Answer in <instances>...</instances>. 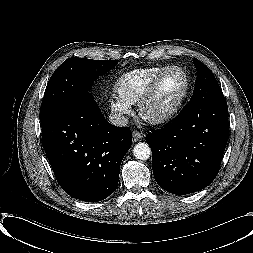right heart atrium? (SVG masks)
<instances>
[{
  "mask_svg": "<svg viewBox=\"0 0 253 253\" xmlns=\"http://www.w3.org/2000/svg\"><path fill=\"white\" fill-rule=\"evenodd\" d=\"M108 105L111 111L118 116H127L131 113V105L119 97L110 98L108 100Z\"/></svg>",
  "mask_w": 253,
  "mask_h": 253,
  "instance_id": "obj_1",
  "label": "right heart atrium"
}]
</instances>
